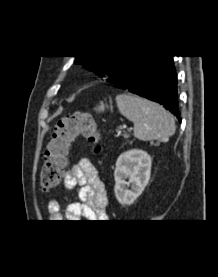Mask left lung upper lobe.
Returning a JSON list of instances; mask_svg holds the SVG:
<instances>
[{
    "label": "left lung upper lobe",
    "mask_w": 218,
    "mask_h": 277,
    "mask_svg": "<svg viewBox=\"0 0 218 277\" xmlns=\"http://www.w3.org/2000/svg\"><path fill=\"white\" fill-rule=\"evenodd\" d=\"M135 56H76L74 63L84 65L102 78L121 70Z\"/></svg>",
    "instance_id": "1"
}]
</instances>
